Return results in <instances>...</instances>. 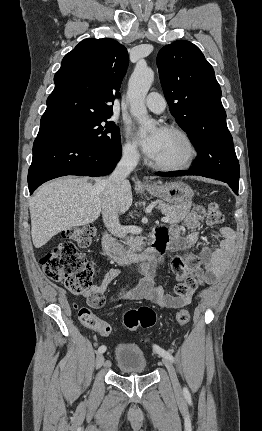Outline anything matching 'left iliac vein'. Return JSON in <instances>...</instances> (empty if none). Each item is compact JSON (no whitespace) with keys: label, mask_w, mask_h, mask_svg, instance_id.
I'll return each instance as SVG.
<instances>
[{"label":"left iliac vein","mask_w":262,"mask_h":431,"mask_svg":"<svg viewBox=\"0 0 262 431\" xmlns=\"http://www.w3.org/2000/svg\"><path fill=\"white\" fill-rule=\"evenodd\" d=\"M163 363H164L165 367L168 370V373H169V376H170V379H171L173 387L175 389H179L180 388V384H179V381H178V378H177V375H176V372H175V369L173 367L172 362L168 358L164 357L163 358Z\"/></svg>","instance_id":"1"}]
</instances>
